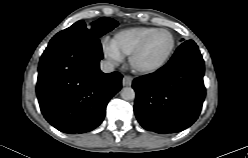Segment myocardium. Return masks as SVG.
Here are the masks:
<instances>
[{"mask_svg":"<svg viewBox=\"0 0 248 158\" xmlns=\"http://www.w3.org/2000/svg\"><path fill=\"white\" fill-rule=\"evenodd\" d=\"M158 32H165L167 33L170 37H171V47L168 51V53L166 54V56L157 64L153 65V66H149V67H141L137 64V59L138 57L141 55V53L143 52V50L145 49L148 41L150 40V38L158 33ZM176 48V39L174 34L164 28H157L154 29L153 31H151L150 33H148L143 39L142 41L139 43V45L134 49V51L131 53V55L129 56V64L132 68L133 71L140 73V74H152L155 73L157 71H159L160 69H162L171 59L174 51Z\"/></svg>","mask_w":248,"mask_h":158,"instance_id":"f54148a6","label":"myocardium"}]
</instances>
